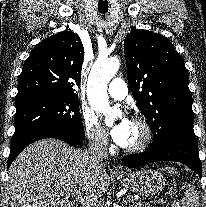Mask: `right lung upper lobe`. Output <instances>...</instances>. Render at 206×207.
Listing matches in <instances>:
<instances>
[{
    "mask_svg": "<svg viewBox=\"0 0 206 207\" xmlns=\"http://www.w3.org/2000/svg\"><path fill=\"white\" fill-rule=\"evenodd\" d=\"M84 48L72 31L59 32L40 42L24 62L16 100L33 95L77 97Z\"/></svg>",
    "mask_w": 206,
    "mask_h": 207,
    "instance_id": "1",
    "label": "right lung upper lobe"
}]
</instances>
